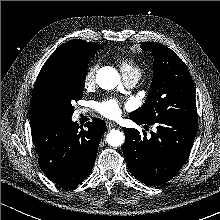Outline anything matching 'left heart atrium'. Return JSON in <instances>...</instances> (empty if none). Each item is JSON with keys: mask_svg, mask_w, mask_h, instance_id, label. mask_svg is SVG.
I'll use <instances>...</instances> for the list:
<instances>
[{"mask_svg": "<svg viewBox=\"0 0 220 220\" xmlns=\"http://www.w3.org/2000/svg\"><path fill=\"white\" fill-rule=\"evenodd\" d=\"M98 111L105 117L114 119L120 116L121 106L115 99H106L97 105Z\"/></svg>", "mask_w": 220, "mask_h": 220, "instance_id": "left-heart-atrium-1", "label": "left heart atrium"}]
</instances>
